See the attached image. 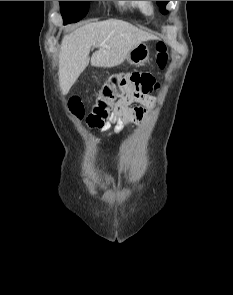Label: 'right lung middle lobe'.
Returning <instances> with one entry per match:
<instances>
[{"instance_id":"dd1d6c3e","label":"right lung middle lobe","mask_w":233,"mask_h":295,"mask_svg":"<svg viewBox=\"0 0 233 295\" xmlns=\"http://www.w3.org/2000/svg\"><path fill=\"white\" fill-rule=\"evenodd\" d=\"M64 24L77 22L88 12L90 1H59Z\"/></svg>"}]
</instances>
